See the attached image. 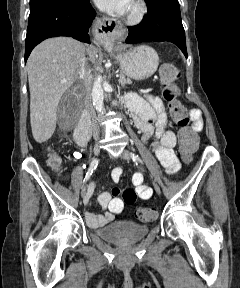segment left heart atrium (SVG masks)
I'll list each match as a JSON object with an SVG mask.
<instances>
[{
    "instance_id": "1",
    "label": "left heart atrium",
    "mask_w": 240,
    "mask_h": 288,
    "mask_svg": "<svg viewBox=\"0 0 240 288\" xmlns=\"http://www.w3.org/2000/svg\"><path fill=\"white\" fill-rule=\"evenodd\" d=\"M132 0H94L96 5L112 14H123L127 12L131 7Z\"/></svg>"
}]
</instances>
